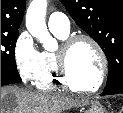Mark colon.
<instances>
[{
	"label": "colon",
	"mask_w": 123,
	"mask_h": 113,
	"mask_svg": "<svg viewBox=\"0 0 123 113\" xmlns=\"http://www.w3.org/2000/svg\"><path fill=\"white\" fill-rule=\"evenodd\" d=\"M120 113H123V107L121 108Z\"/></svg>",
	"instance_id": "obj_1"
}]
</instances>
